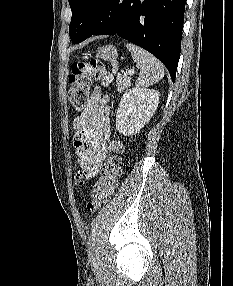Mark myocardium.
I'll return each mask as SVG.
<instances>
[{
    "instance_id": "myocardium-1",
    "label": "myocardium",
    "mask_w": 233,
    "mask_h": 286,
    "mask_svg": "<svg viewBox=\"0 0 233 286\" xmlns=\"http://www.w3.org/2000/svg\"><path fill=\"white\" fill-rule=\"evenodd\" d=\"M95 8H96V3L90 2V3H87L86 5H84L82 10H83V13H89V12L93 11Z\"/></svg>"
}]
</instances>
